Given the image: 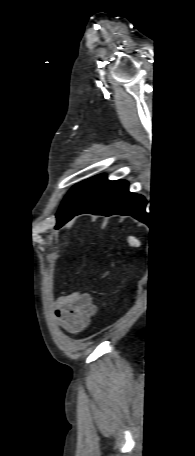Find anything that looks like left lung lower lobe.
Wrapping results in <instances>:
<instances>
[{"label": "left lung lower lobe", "mask_w": 195, "mask_h": 456, "mask_svg": "<svg viewBox=\"0 0 195 456\" xmlns=\"http://www.w3.org/2000/svg\"><path fill=\"white\" fill-rule=\"evenodd\" d=\"M145 205L146 201L143 196L129 192L126 181L108 180L99 192L70 216L65 223L74 216L83 213L104 216L131 215L140 221H144L146 218Z\"/></svg>", "instance_id": "left-lung-lower-lobe-1"}]
</instances>
